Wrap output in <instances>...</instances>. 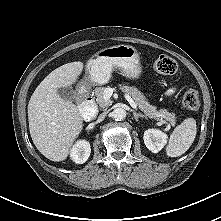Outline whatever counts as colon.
I'll return each instance as SVG.
<instances>
[{
  "mask_svg": "<svg viewBox=\"0 0 221 221\" xmlns=\"http://www.w3.org/2000/svg\"><path fill=\"white\" fill-rule=\"evenodd\" d=\"M154 68L160 74L173 75L177 72L178 65L173 58L160 55L154 62ZM182 103L183 106L190 111L198 110L200 107L199 93L195 89L186 90L183 94Z\"/></svg>",
  "mask_w": 221,
  "mask_h": 221,
  "instance_id": "1",
  "label": "colon"
}]
</instances>
